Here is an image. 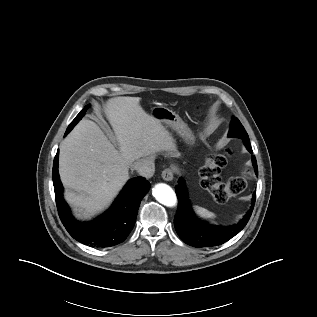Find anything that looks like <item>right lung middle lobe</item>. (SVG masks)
<instances>
[{
	"mask_svg": "<svg viewBox=\"0 0 317 317\" xmlns=\"http://www.w3.org/2000/svg\"><path fill=\"white\" fill-rule=\"evenodd\" d=\"M88 108H89V105H86L84 109L76 116V118L68 126L66 133H68L76 125V123L84 116Z\"/></svg>",
	"mask_w": 317,
	"mask_h": 317,
	"instance_id": "right-lung-middle-lobe-1",
	"label": "right lung middle lobe"
}]
</instances>
